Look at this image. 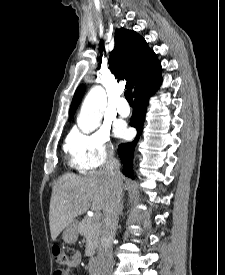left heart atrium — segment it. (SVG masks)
I'll use <instances>...</instances> for the list:
<instances>
[{"label":"left heart atrium","instance_id":"39dd6f15","mask_svg":"<svg viewBox=\"0 0 225 275\" xmlns=\"http://www.w3.org/2000/svg\"><path fill=\"white\" fill-rule=\"evenodd\" d=\"M115 132L119 136H125L126 135V128L124 126H117L115 129Z\"/></svg>","mask_w":225,"mask_h":275}]
</instances>
